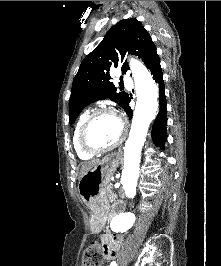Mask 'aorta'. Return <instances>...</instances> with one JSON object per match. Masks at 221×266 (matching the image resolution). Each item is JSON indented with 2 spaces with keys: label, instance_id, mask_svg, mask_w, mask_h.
Instances as JSON below:
<instances>
[{
  "label": "aorta",
  "instance_id": "1",
  "mask_svg": "<svg viewBox=\"0 0 221 266\" xmlns=\"http://www.w3.org/2000/svg\"><path fill=\"white\" fill-rule=\"evenodd\" d=\"M130 68L135 81L136 107L133 114L129 137L124 145V170L121 183L129 198L136 195V185L140 173L141 151L144 146L148 128L158 110V86L148 69L136 59H130ZM134 215L130 212L120 213L113 218L111 229L114 232L128 230Z\"/></svg>",
  "mask_w": 221,
  "mask_h": 266
}]
</instances>
